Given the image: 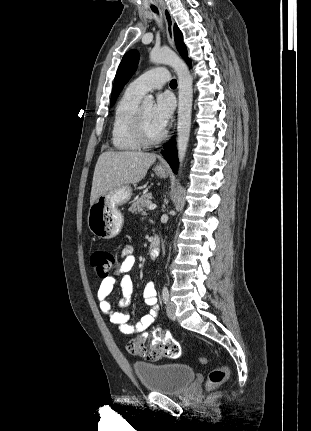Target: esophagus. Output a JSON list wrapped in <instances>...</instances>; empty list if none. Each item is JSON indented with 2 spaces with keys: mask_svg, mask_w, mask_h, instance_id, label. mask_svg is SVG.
<instances>
[{
  "mask_svg": "<svg viewBox=\"0 0 311 431\" xmlns=\"http://www.w3.org/2000/svg\"><path fill=\"white\" fill-rule=\"evenodd\" d=\"M161 10L163 12V16H164L165 23H166V32H167L168 42L172 46V48L175 49L174 36H173L174 20H173L172 15H171V13H170V11L166 5H161ZM159 161H160V163H163L162 159H160Z\"/></svg>",
  "mask_w": 311,
  "mask_h": 431,
  "instance_id": "34e87169",
  "label": "esophagus"
}]
</instances>
